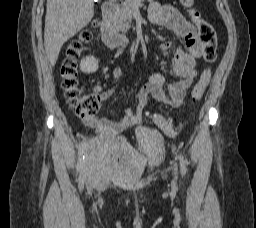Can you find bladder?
Returning a JSON list of instances; mask_svg holds the SVG:
<instances>
[{"mask_svg":"<svg viewBox=\"0 0 256 228\" xmlns=\"http://www.w3.org/2000/svg\"><path fill=\"white\" fill-rule=\"evenodd\" d=\"M140 137L145 147L144 152L120 137H90L85 142L87 164L95 174L108 179L140 177L148 167L161 160L165 151L164 140L157 132L143 130Z\"/></svg>","mask_w":256,"mask_h":228,"instance_id":"obj_1","label":"bladder"}]
</instances>
